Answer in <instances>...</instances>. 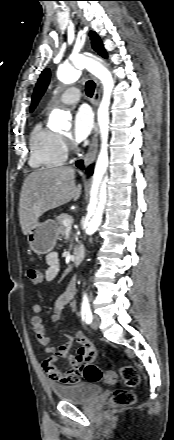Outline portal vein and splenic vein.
<instances>
[{
	"label": "portal vein and splenic vein",
	"instance_id": "obj_1",
	"mask_svg": "<svg viewBox=\"0 0 174 440\" xmlns=\"http://www.w3.org/2000/svg\"><path fill=\"white\" fill-rule=\"evenodd\" d=\"M72 223H73V218H72V217L67 218V219H65V220L63 221V225H64L65 227H70V226L72 225Z\"/></svg>",
	"mask_w": 174,
	"mask_h": 440
}]
</instances>
